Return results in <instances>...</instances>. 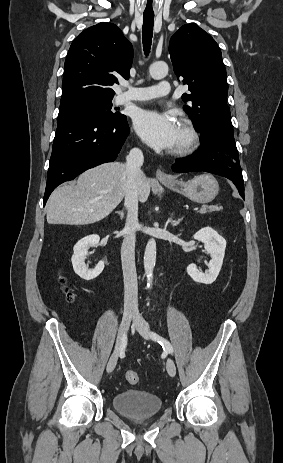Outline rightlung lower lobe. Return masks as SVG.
I'll use <instances>...</instances> for the list:
<instances>
[{"label":"right lung lower lobe","mask_w":283,"mask_h":463,"mask_svg":"<svg viewBox=\"0 0 283 463\" xmlns=\"http://www.w3.org/2000/svg\"><path fill=\"white\" fill-rule=\"evenodd\" d=\"M129 133L125 115L117 119L81 116L57 125L44 205L61 183L99 164L114 161Z\"/></svg>","instance_id":"98d812e1"}]
</instances>
